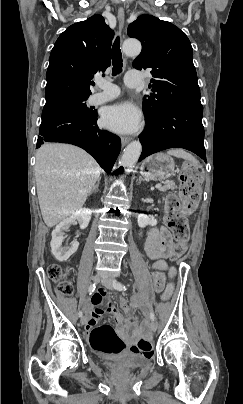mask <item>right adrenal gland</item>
I'll return each mask as SVG.
<instances>
[{"label":"right adrenal gland","mask_w":243,"mask_h":404,"mask_svg":"<svg viewBox=\"0 0 243 404\" xmlns=\"http://www.w3.org/2000/svg\"><path fill=\"white\" fill-rule=\"evenodd\" d=\"M100 180H101V178H99V180H97V184H95L94 188H92L91 192H89V196H91V194H93V192H94V194H96V192H98Z\"/></svg>","instance_id":"1"}]
</instances>
